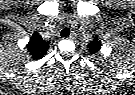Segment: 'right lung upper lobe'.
<instances>
[{
    "label": "right lung upper lobe",
    "mask_w": 135,
    "mask_h": 95,
    "mask_svg": "<svg viewBox=\"0 0 135 95\" xmlns=\"http://www.w3.org/2000/svg\"><path fill=\"white\" fill-rule=\"evenodd\" d=\"M49 44L50 42L43 40L38 32H34L26 45L27 52L33 60L41 59L46 55Z\"/></svg>",
    "instance_id": "obj_1"
}]
</instances>
